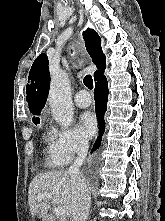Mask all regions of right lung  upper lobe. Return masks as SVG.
<instances>
[{"instance_id": "obj_1", "label": "right lung upper lobe", "mask_w": 165, "mask_h": 221, "mask_svg": "<svg viewBox=\"0 0 165 221\" xmlns=\"http://www.w3.org/2000/svg\"><path fill=\"white\" fill-rule=\"evenodd\" d=\"M86 49L96 64L98 70L94 73L95 81H98L104 75L106 68V57L101 49V39L93 29H87L84 33ZM50 84V75L48 69V59L46 54L39 55L34 61L30 73L29 83L26 87L27 102L29 110L34 115H39L44 107ZM33 118L34 119H37Z\"/></svg>"}]
</instances>
